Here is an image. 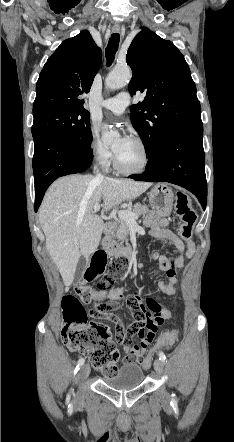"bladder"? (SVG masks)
Returning a JSON list of instances; mask_svg holds the SVG:
<instances>
[{
	"label": "bladder",
	"instance_id": "obj_1",
	"mask_svg": "<svg viewBox=\"0 0 234 442\" xmlns=\"http://www.w3.org/2000/svg\"><path fill=\"white\" fill-rule=\"evenodd\" d=\"M143 369L136 364H127L114 376L104 377L103 382L117 390L131 389L139 386L144 380Z\"/></svg>",
	"mask_w": 234,
	"mask_h": 442
}]
</instances>
